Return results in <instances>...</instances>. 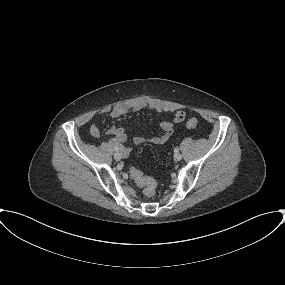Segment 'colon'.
<instances>
[{
  "label": "colon",
  "instance_id": "colon-1",
  "mask_svg": "<svg viewBox=\"0 0 285 285\" xmlns=\"http://www.w3.org/2000/svg\"><path fill=\"white\" fill-rule=\"evenodd\" d=\"M179 118L183 117L182 113L178 114ZM186 126L189 129H195L198 126V121L195 118H191L186 122ZM130 174L132 179L143 188L144 194L146 196H153L155 194L156 183L154 179L145 175L142 171L137 168H131Z\"/></svg>",
  "mask_w": 285,
  "mask_h": 285
}]
</instances>
